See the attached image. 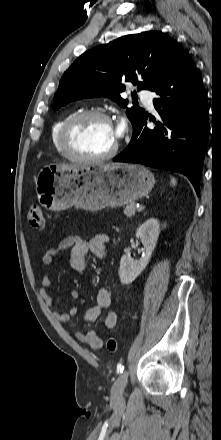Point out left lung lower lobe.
Instances as JSON below:
<instances>
[{"mask_svg":"<svg viewBox=\"0 0 221 440\" xmlns=\"http://www.w3.org/2000/svg\"><path fill=\"white\" fill-rule=\"evenodd\" d=\"M160 120L148 129L147 116L133 130L129 145L114 162L141 163L185 175L200 194L209 129L207 94L196 67L182 51L174 66L152 89Z\"/></svg>","mask_w":221,"mask_h":440,"instance_id":"left-lung-lower-lobe-1","label":"left lung lower lobe"}]
</instances>
